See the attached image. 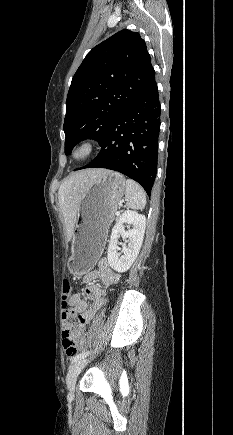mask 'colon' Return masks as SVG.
<instances>
[{
    "label": "colon",
    "instance_id": "obj_1",
    "mask_svg": "<svg viewBox=\"0 0 233 435\" xmlns=\"http://www.w3.org/2000/svg\"><path fill=\"white\" fill-rule=\"evenodd\" d=\"M72 293V285L69 280L64 279L62 282V304L63 307L67 310H69V298ZM62 338H63V348L65 350V353L68 357H73L75 354H77L78 349L77 345L74 342L71 330L69 328H66L62 332Z\"/></svg>",
    "mask_w": 233,
    "mask_h": 435
}]
</instances>
